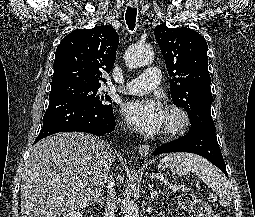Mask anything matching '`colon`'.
Returning a JSON list of instances; mask_svg holds the SVG:
<instances>
[{
  "label": "colon",
  "mask_w": 255,
  "mask_h": 217,
  "mask_svg": "<svg viewBox=\"0 0 255 217\" xmlns=\"http://www.w3.org/2000/svg\"><path fill=\"white\" fill-rule=\"evenodd\" d=\"M180 204L192 217H219L204 199L191 193L182 194Z\"/></svg>",
  "instance_id": "obj_1"
}]
</instances>
